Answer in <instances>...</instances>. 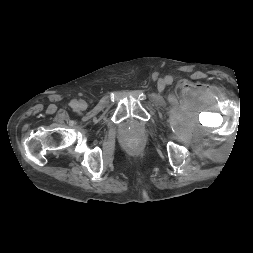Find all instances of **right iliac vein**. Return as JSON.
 <instances>
[{"label":"right iliac vein","instance_id":"1","mask_svg":"<svg viewBox=\"0 0 253 253\" xmlns=\"http://www.w3.org/2000/svg\"><path fill=\"white\" fill-rule=\"evenodd\" d=\"M78 107L81 110H85L87 108V104L84 101H79Z\"/></svg>","mask_w":253,"mask_h":253}]
</instances>
